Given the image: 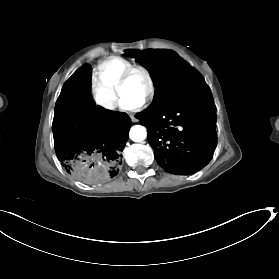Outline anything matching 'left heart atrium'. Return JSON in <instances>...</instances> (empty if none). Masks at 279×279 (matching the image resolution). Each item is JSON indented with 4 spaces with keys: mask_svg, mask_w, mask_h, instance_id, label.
I'll return each mask as SVG.
<instances>
[{
    "mask_svg": "<svg viewBox=\"0 0 279 279\" xmlns=\"http://www.w3.org/2000/svg\"><path fill=\"white\" fill-rule=\"evenodd\" d=\"M142 106V102H131L125 99L121 101V107L126 111H136Z\"/></svg>",
    "mask_w": 279,
    "mask_h": 279,
    "instance_id": "39dd6f15",
    "label": "left heart atrium"
}]
</instances>
